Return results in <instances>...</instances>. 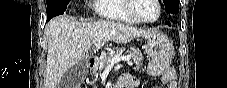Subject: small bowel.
<instances>
[{"label": "small bowel", "mask_w": 227, "mask_h": 88, "mask_svg": "<svg viewBox=\"0 0 227 88\" xmlns=\"http://www.w3.org/2000/svg\"><path fill=\"white\" fill-rule=\"evenodd\" d=\"M120 80H123L121 88H131L136 85V80L130 76H124ZM163 83H169L170 88H177V82L174 78L173 72L168 70L163 76Z\"/></svg>", "instance_id": "1"}]
</instances>
